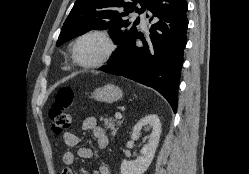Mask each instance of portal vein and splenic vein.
<instances>
[{"label": "portal vein and splenic vein", "instance_id": "portal-vein-and-splenic-vein-1", "mask_svg": "<svg viewBox=\"0 0 249 174\" xmlns=\"http://www.w3.org/2000/svg\"><path fill=\"white\" fill-rule=\"evenodd\" d=\"M115 118L116 119H121L122 118V114L121 113H115Z\"/></svg>", "mask_w": 249, "mask_h": 174}]
</instances>
